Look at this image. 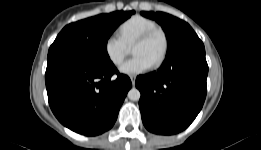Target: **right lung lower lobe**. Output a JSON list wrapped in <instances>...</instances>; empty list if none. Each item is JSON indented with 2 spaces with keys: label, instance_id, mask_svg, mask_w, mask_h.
Masks as SVG:
<instances>
[{
  "label": "right lung lower lobe",
  "instance_id": "obj_1",
  "mask_svg": "<svg viewBox=\"0 0 261 150\" xmlns=\"http://www.w3.org/2000/svg\"><path fill=\"white\" fill-rule=\"evenodd\" d=\"M45 81L54 115L67 128L86 136L99 135L114 125L132 86L111 61H53L47 63Z\"/></svg>",
  "mask_w": 261,
  "mask_h": 150
}]
</instances>
